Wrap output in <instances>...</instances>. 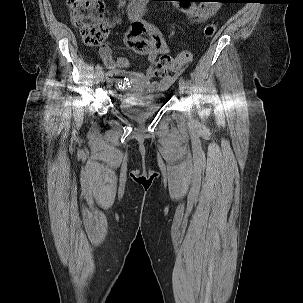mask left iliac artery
<instances>
[{
  "label": "left iliac artery",
  "instance_id": "44dca946",
  "mask_svg": "<svg viewBox=\"0 0 303 303\" xmlns=\"http://www.w3.org/2000/svg\"><path fill=\"white\" fill-rule=\"evenodd\" d=\"M185 88L188 92H191L192 91V82L191 80L189 79H186L185 81Z\"/></svg>",
  "mask_w": 303,
  "mask_h": 303
}]
</instances>
